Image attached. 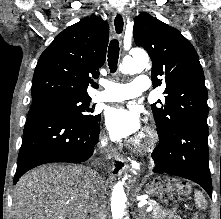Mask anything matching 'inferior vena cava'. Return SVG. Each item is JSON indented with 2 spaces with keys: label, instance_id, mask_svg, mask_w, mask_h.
I'll list each match as a JSON object with an SVG mask.
<instances>
[{
  "label": "inferior vena cava",
  "instance_id": "obj_1",
  "mask_svg": "<svg viewBox=\"0 0 221 219\" xmlns=\"http://www.w3.org/2000/svg\"><path fill=\"white\" fill-rule=\"evenodd\" d=\"M107 147V142H102L101 148ZM92 180L93 181V191H102V181L101 175H96V172L93 173ZM90 219H105V211L102 209L98 200L93 202L91 209H90Z\"/></svg>",
  "mask_w": 221,
  "mask_h": 219
}]
</instances>
